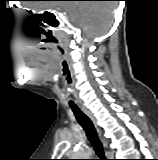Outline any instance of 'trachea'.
Returning <instances> with one entry per match:
<instances>
[{"label":"trachea","mask_w":158,"mask_h":160,"mask_svg":"<svg viewBox=\"0 0 158 160\" xmlns=\"http://www.w3.org/2000/svg\"><path fill=\"white\" fill-rule=\"evenodd\" d=\"M70 108L74 112L77 121L80 123V125L83 127V129L86 132V135L91 142V144L94 147V150L96 152V155L100 157V159L97 160H106L104 156V151H103V145L100 142L96 129L90 120V118L85 115L76 105H70Z\"/></svg>","instance_id":"trachea-1"}]
</instances>
